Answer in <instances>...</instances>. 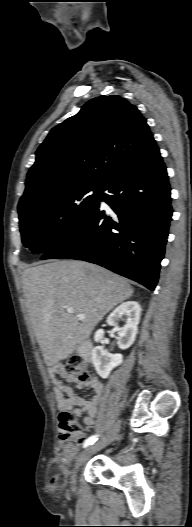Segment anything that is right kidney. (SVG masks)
Segmentation results:
<instances>
[{
  "label": "right kidney",
  "instance_id": "right-kidney-1",
  "mask_svg": "<svg viewBox=\"0 0 192 527\" xmlns=\"http://www.w3.org/2000/svg\"><path fill=\"white\" fill-rule=\"evenodd\" d=\"M141 307L135 301H128L119 305L107 318V323L118 331V346L121 349L129 348L135 341L138 333ZM119 321H124L123 327H119ZM104 330L99 329L95 333V342L101 341ZM123 361L121 354H111L102 346H96L92 351V363L97 374L102 378H107L115 367Z\"/></svg>",
  "mask_w": 192,
  "mask_h": 527
}]
</instances>
